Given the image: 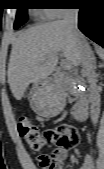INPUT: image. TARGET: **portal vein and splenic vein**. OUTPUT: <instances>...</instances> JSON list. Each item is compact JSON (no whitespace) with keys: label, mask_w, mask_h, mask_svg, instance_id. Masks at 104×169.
<instances>
[{"label":"portal vein and splenic vein","mask_w":104,"mask_h":169,"mask_svg":"<svg viewBox=\"0 0 104 169\" xmlns=\"http://www.w3.org/2000/svg\"><path fill=\"white\" fill-rule=\"evenodd\" d=\"M61 66H62L64 69L68 70V69H71L72 63H71L70 61H68L67 59H65V60H62Z\"/></svg>","instance_id":"1"}]
</instances>
